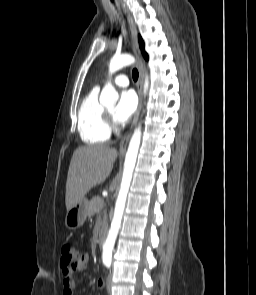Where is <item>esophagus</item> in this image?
<instances>
[{
	"label": "esophagus",
	"instance_id": "obj_1",
	"mask_svg": "<svg viewBox=\"0 0 256 295\" xmlns=\"http://www.w3.org/2000/svg\"><path fill=\"white\" fill-rule=\"evenodd\" d=\"M124 12L126 14L128 23H129V28H130V32H131V38H132V46H133V51L139 61V66H138V71H139V80H138V96H139V104H138V108L137 111L134 115L132 124L130 129L128 130V132L121 138L120 140V145H119V155L123 156L125 153V149H126V145L128 143V140L131 136V133L137 123L138 117H139V113L141 110V105H142V85H143V71H142V64H141V52H140V48H139V43H138V37H137V29L136 26L134 24L133 18L130 15V13L126 10L125 7H123Z\"/></svg>",
	"mask_w": 256,
	"mask_h": 295
}]
</instances>
